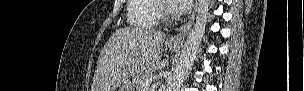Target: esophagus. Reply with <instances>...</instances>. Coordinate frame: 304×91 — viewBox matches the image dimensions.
<instances>
[{
    "label": "esophagus",
    "mask_w": 304,
    "mask_h": 91,
    "mask_svg": "<svg viewBox=\"0 0 304 91\" xmlns=\"http://www.w3.org/2000/svg\"><path fill=\"white\" fill-rule=\"evenodd\" d=\"M197 7H198V0L195 1L194 10H193L189 20L178 29L176 34L172 35L169 38L168 43L170 45L177 46V47H180L183 45L184 39L187 36V34L189 33V31L191 30V27L193 25Z\"/></svg>",
    "instance_id": "obj_1"
}]
</instances>
